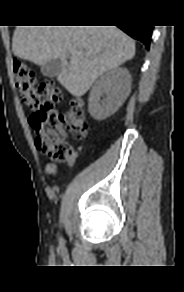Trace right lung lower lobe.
I'll list each match as a JSON object with an SVG mask.
<instances>
[{
    "instance_id": "obj_1",
    "label": "right lung lower lobe",
    "mask_w": 184,
    "mask_h": 292,
    "mask_svg": "<svg viewBox=\"0 0 184 292\" xmlns=\"http://www.w3.org/2000/svg\"><path fill=\"white\" fill-rule=\"evenodd\" d=\"M118 27L132 38L141 41L146 46V48L149 49L153 26L120 25Z\"/></svg>"
}]
</instances>
